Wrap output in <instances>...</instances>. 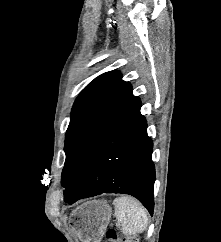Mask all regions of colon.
Segmentation results:
<instances>
[{"label": "colon", "instance_id": "colon-1", "mask_svg": "<svg viewBox=\"0 0 221 242\" xmlns=\"http://www.w3.org/2000/svg\"><path fill=\"white\" fill-rule=\"evenodd\" d=\"M106 242H139L138 237L135 235L131 236H120L115 230H109L107 233Z\"/></svg>", "mask_w": 221, "mask_h": 242}]
</instances>
